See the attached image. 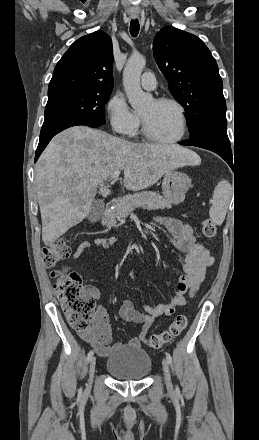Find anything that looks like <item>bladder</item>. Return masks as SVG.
<instances>
[{"instance_id": "1", "label": "bladder", "mask_w": 259, "mask_h": 440, "mask_svg": "<svg viewBox=\"0 0 259 440\" xmlns=\"http://www.w3.org/2000/svg\"><path fill=\"white\" fill-rule=\"evenodd\" d=\"M106 370L121 381H138L151 370V359L140 347L119 346L106 360Z\"/></svg>"}]
</instances>
